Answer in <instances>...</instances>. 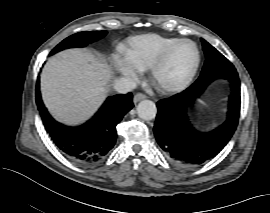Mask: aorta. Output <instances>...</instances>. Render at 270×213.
I'll return each mask as SVG.
<instances>
[{"instance_id":"762f6f07","label":"aorta","mask_w":270,"mask_h":213,"mask_svg":"<svg viewBox=\"0 0 270 213\" xmlns=\"http://www.w3.org/2000/svg\"><path fill=\"white\" fill-rule=\"evenodd\" d=\"M137 113L144 120H152L156 116L157 108L154 102L143 100L137 106Z\"/></svg>"}]
</instances>
